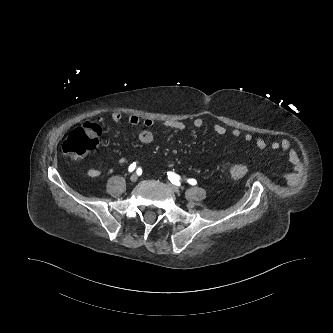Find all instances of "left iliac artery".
I'll return each instance as SVG.
<instances>
[{
	"label": "left iliac artery",
	"mask_w": 333,
	"mask_h": 333,
	"mask_svg": "<svg viewBox=\"0 0 333 333\" xmlns=\"http://www.w3.org/2000/svg\"><path fill=\"white\" fill-rule=\"evenodd\" d=\"M168 174V178L169 180L171 181V183L177 185V186H180V182H179V179H180V176L175 174L174 172H167ZM187 182L191 185H196L197 184V181L195 179H188Z\"/></svg>",
	"instance_id": "left-iliac-artery-1"
}]
</instances>
